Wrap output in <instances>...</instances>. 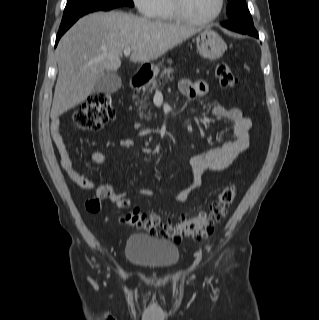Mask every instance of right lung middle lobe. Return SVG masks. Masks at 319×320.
<instances>
[{
  "label": "right lung middle lobe",
  "instance_id": "obj_1",
  "mask_svg": "<svg viewBox=\"0 0 319 320\" xmlns=\"http://www.w3.org/2000/svg\"><path fill=\"white\" fill-rule=\"evenodd\" d=\"M119 6H134V3L132 0H68L60 28L70 25L87 13Z\"/></svg>",
  "mask_w": 319,
  "mask_h": 320
}]
</instances>
